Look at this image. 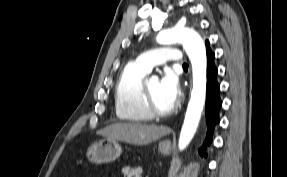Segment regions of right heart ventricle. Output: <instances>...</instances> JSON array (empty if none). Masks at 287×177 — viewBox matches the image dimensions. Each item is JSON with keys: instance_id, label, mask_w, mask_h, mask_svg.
<instances>
[{"instance_id": "e07e8e85", "label": "right heart ventricle", "mask_w": 287, "mask_h": 177, "mask_svg": "<svg viewBox=\"0 0 287 177\" xmlns=\"http://www.w3.org/2000/svg\"><path fill=\"white\" fill-rule=\"evenodd\" d=\"M148 73L136 64H129L120 74L114 101L115 113L121 122L141 123L151 119L143 103V86Z\"/></svg>"}]
</instances>
